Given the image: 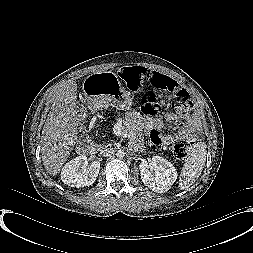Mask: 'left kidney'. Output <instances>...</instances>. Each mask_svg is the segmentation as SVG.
<instances>
[{"instance_id":"left-kidney-1","label":"left kidney","mask_w":253,"mask_h":253,"mask_svg":"<svg viewBox=\"0 0 253 253\" xmlns=\"http://www.w3.org/2000/svg\"><path fill=\"white\" fill-rule=\"evenodd\" d=\"M139 167L143 183L157 193L167 192L178 176L175 167L160 156H153L151 163L141 162Z\"/></svg>"}]
</instances>
